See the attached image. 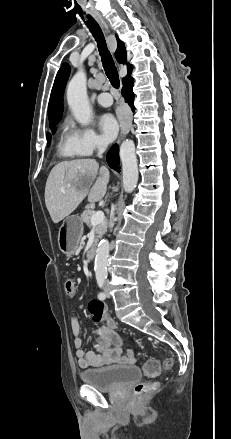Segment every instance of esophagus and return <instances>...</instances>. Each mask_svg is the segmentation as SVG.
<instances>
[{"label":"esophagus","mask_w":231,"mask_h":439,"mask_svg":"<svg viewBox=\"0 0 231 439\" xmlns=\"http://www.w3.org/2000/svg\"><path fill=\"white\" fill-rule=\"evenodd\" d=\"M97 19L99 20V22L102 24V26L108 30V26L105 23V21L100 17L97 16ZM130 129V123L128 121H125L122 125H121V131H120V135H119V139H118V143H120V141L127 135V133L129 132Z\"/></svg>","instance_id":"1"}]
</instances>
